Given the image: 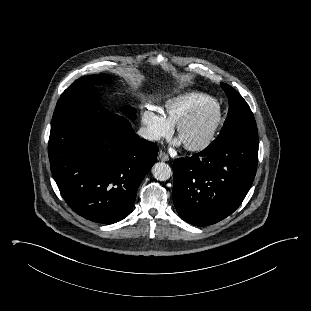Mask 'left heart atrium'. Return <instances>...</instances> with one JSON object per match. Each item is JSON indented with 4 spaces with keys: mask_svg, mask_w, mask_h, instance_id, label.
I'll use <instances>...</instances> for the list:
<instances>
[{
    "mask_svg": "<svg viewBox=\"0 0 311 311\" xmlns=\"http://www.w3.org/2000/svg\"><path fill=\"white\" fill-rule=\"evenodd\" d=\"M176 144H181V140H177V141H176Z\"/></svg>",
    "mask_w": 311,
    "mask_h": 311,
    "instance_id": "left-heart-atrium-1",
    "label": "left heart atrium"
}]
</instances>
